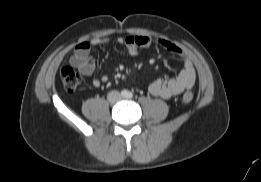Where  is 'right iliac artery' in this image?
<instances>
[{"label":"right iliac artery","instance_id":"82829eb1","mask_svg":"<svg viewBox=\"0 0 261 182\" xmlns=\"http://www.w3.org/2000/svg\"><path fill=\"white\" fill-rule=\"evenodd\" d=\"M121 95L124 96V97L127 96V91H126V90H123V91L121 92Z\"/></svg>","mask_w":261,"mask_h":182}]
</instances>
